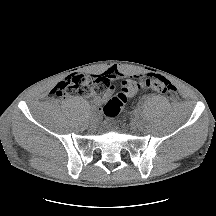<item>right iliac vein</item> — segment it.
<instances>
[{
  "label": "right iliac vein",
  "instance_id": "right-iliac-vein-1",
  "mask_svg": "<svg viewBox=\"0 0 216 216\" xmlns=\"http://www.w3.org/2000/svg\"><path fill=\"white\" fill-rule=\"evenodd\" d=\"M90 120H91V122H95L96 121V117L93 116V117L90 118Z\"/></svg>",
  "mask_w": 216,
  "mask_h": 216
}]
</instances>
